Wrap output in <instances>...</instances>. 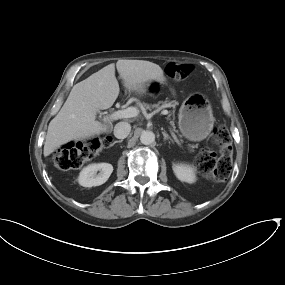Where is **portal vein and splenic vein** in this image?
<instances>
[{"mask_svg": "<svg viewBox=\"0 0 285 285\" xmlns=\"http://www.w3.org/2000/svg\"><path fill=\"white\" fill-rule=\"evenodd\" d=\"M163 115H167L168 111L164 110L161 112ZM138 115V110L135 107H129L123 110H118L112 113L109 116V120H118V119H123V118H131V117H136ZM172 135L174 139L176 140L177 144L181 146L180 141L177 139L176 135L174 132H172Z\"/></svg>", "mask_w": 285, "mask_h": 285, "instance_id": "1", "label": "portal vein and splenic vein"}]
</instances>
